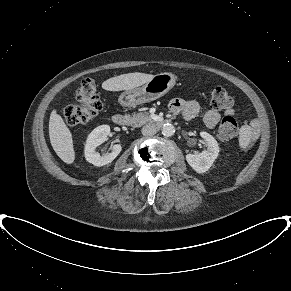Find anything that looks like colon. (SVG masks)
I'll return each mask as SVG.
<instances>
[{
	"label": "colon",
	"instance_id": "5ec220e1",
	"mask_svg": "<svg viewBox=\"0 0 291 291\" xmlns=\"http://www.w3.org/2000/svg\"><path fill=\"white\" fill-rule=\"evenodd\" d=\"M77 104L63 108L62 114L67 124L75 126L85 124L93 119L102 108L96 84L92 79L82 80L75 92ZM211 107L215 110L228 108L232 99L228 92L217 87L213 90L210 101ZM218 134L223 140H234L238 137V125L234 117L228 115L220 123Z\"/></svg>",
	"mask_w": 291,
	"mask_h": 291
}]
</instances>
